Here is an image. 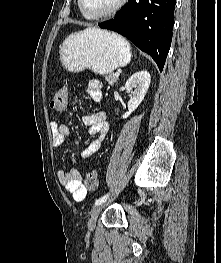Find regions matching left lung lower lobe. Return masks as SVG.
Wrapping results in <instances>:
<instances>
[{"label": "left lung lower lobe", "mask_w": 221, "mask_h": 263, "mask_svg": "<svg viewBox=\"0 0 221 263\" xmlns=\"http://www.w3.org/2000/svg\"><path fill=\"white\" fill-rule=\"evenodd\" d=\"M176 0H129L114 19L99 23L132 41L162 71L172 40Z\"/></svg>", "instance_id": "1"}]
</instances>
